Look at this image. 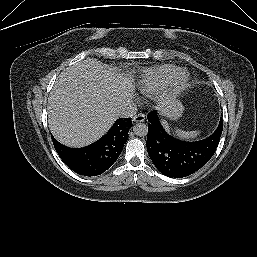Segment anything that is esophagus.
Listing matches in <instances>:
<instances>
[{
  "instance_id": "esophagus-1",
  "label": "esophagus",
  "mask_w": 257,
  "mask_h": 257,
  "mask_svg": "<svg viewBox=\"0 0 257 257\" xmlns=\"http://www.w3.org/2000/svg\"><path fill=\"white\" fill-rule=\"evenodd\" d=\"M145 120V115L143 113H138L133 117L134 122H143Z\"/></svg>"
}]
</instances>
